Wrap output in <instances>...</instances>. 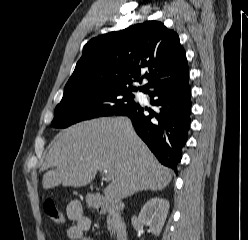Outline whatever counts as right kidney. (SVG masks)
Listing matches in <instances>:
<instances>
[{"instance_id": "ca27d5eb", "label": "right kidney", "mask_w": 248, "mask_h": 240, "mask_svg": "<svg viewBox=\"0 0 248 240\" xmlns=\"http://www.w3.org/2000/svg\"><path fill=\"white\" fill-rule=\"evenodd\" d=\"M169 211V201L155 197L147 201L139 213V221L149 226L150 231L158 236L164 226Z\"/></svg>"}]
</instances>
